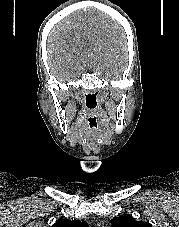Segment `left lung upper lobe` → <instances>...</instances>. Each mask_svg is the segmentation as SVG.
Returning <instances> with one entry per match:
<instances>
[{"label":"left lung upper lobe","mask_w":179,"mask_h":227,"mask_svg":"<svg viewBox=\"0 0 179 227\" xmlns=\"http://www.w3.org/2000/svg\"><path fill=\"white\" fill-rule=\"evenodd\" d=\"M113 227H152L149 222L135 221L131 217H115L111 220Z\"/></svg>","instance_id":"1"}]
</instances>
